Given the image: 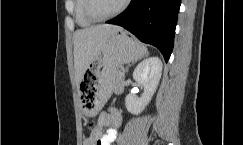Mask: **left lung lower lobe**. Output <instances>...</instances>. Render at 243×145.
Returning a JSON list of instances; mask_svg holds the SVG:
<instances>
[{"label": "left lung lower lobe", "mask_w": 243, "mask_h": 145, "mask_svg": "<svg viewBox=\"0 0 243 145\" xmlns=\"http://www.w3.org/2000/svg\"><path fill=\"white\" fill-rule=\"evenodd\" d=\"M181 0H131L117 17L108 21L124 27L140 41L157 47L167 62L174 44Z\"/></svg>", "instance_id": "1"}]
</instances>
